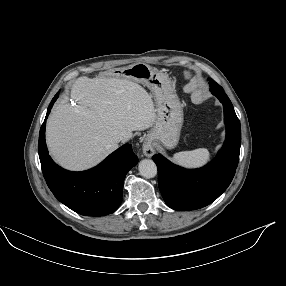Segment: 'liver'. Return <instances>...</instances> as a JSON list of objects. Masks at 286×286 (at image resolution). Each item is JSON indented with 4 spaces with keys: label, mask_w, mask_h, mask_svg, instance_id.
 <instances>
[{
    "label": "liver",
    "mask_w": 286,
    "mask_h": 286,
    "mask_svg": "<svg viewBox=\"0 0 286 286\" xmlns=\"http://www.w3.org/2000/svg\"><path fill=\"white\" fill-rule=\"evenodd\" d=\"M78 105L60 103L46 127L50 154L70 170L90 168L128 141L132 131L156 120L152 97L135 82L115 77H80L72 85Z\"/></svg>",
    "instance_id": "1"
}]
</instances>
